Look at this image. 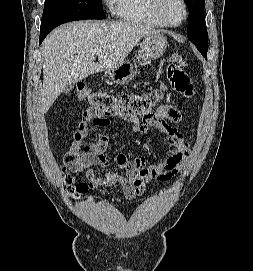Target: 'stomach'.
I'll use <instances>...</instances> for the list:
<instances>
[{"label": "stomach", "mask_w": 253, "mask_h": 271, "mask_svg": "<svg viewBox=\"0 0 253 271\" xmlns=\"http://www.w3.org/2000/svg\"><path fill=\"white\" fill-rule=\"evenodd\" d=\"M167 44L166 37L160 32L146 35L139 49V58L142 60L141 64L145 65L152 60L160 58L165 53ZM105 74L112 82L123 85L134 78L136 71L131 62L124 61L118 66L106 70Z\"/></svg>", "instance_id": "0dacf381"}]
</instances>
